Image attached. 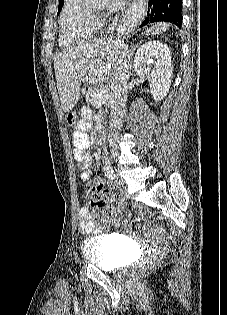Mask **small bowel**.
Here are the masks:
<instances>
[{"label": "small bowel", "instance_id": "1", "mask_svg": "<svg viewBox=\"0 0 227 315\" xmlns=\"http://www.w3.org/2000/svg\"><path fill=\"white\" fill-rule=\"evenodd\" d=\"M90 113L85 110L83 112V120L79 123L78 127L74 131L73 138V154L77 162V165L81 169V179L87 181L93 175V172L90 168V160L86 153V149L89 146V141L86 137V130L89 126ZM95 184L100 186H105L104 183L96 179ZM111 215V220L109 221L110 225L112 222L118 221L121 219L122 213L126 209V204L124 201H118ZM79 216V230L83 233H99L105 226L100 223V221L95 220L91 214L90 209L87 206L81 207L78 212ZM107 225V226H108ZM140 230L145 233L147 236H153L155 234H163L164 228L155 227L151 228L147 226L144 222L139 225ZM167 245L166 241H158L155 246L158 249H164Z\"/></svg>", "mask_w": 227, "mask_h": 315}]
</instances>
